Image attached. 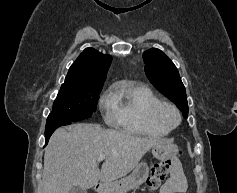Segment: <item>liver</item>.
I'll return each mask as SVG.
<instances>
[{"mask_svg": "<svg viewBox=\"0 0 237 193\" xmlns=\"http://www.w3.org/2000/svg\"><path fill=\"white\" fill-rule=\"evenodd\" d=\"M164 140L138 137L78 123L57 129L45 149L42 173L43 193H69L72 186L89 189L99 181L112 183L126 176L144 154ZM105 155L101 170L97 158Z\"/></svg>", "mask_w": 237, "mask_h": 193, "instance_id": "6515ba94", "label": "liver"}]
</instances>
